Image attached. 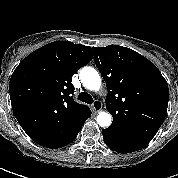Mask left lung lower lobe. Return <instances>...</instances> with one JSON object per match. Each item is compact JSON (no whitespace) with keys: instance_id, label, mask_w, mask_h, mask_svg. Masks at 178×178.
I'll list each match as a JSON object with an SVG mask.
<instances>
[{"instance_id":"1","label":"left lung lower lobe","mask_w":178,"mask_h":178,"mask_svg":"<svg viewBox=\"0 0 178 178\" xmlns=\"http://www.w3.org/2000/svg\"><path fill=\"white\" fill-rule=\"evenodd\" d=\"M103 139L106 145L112 150L119 153H130L140 150L144 145H140L129 140H126L120 136H117L108 129L102 130Z\"/></svg>"}]
</instances>
